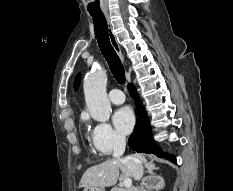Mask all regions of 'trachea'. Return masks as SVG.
<instances>
[{"mask_svg":"<svg viewBox=\"0 0 233 191\" xmlns=\"http://www.w3.org/2000/svg\"><path fill=\"white\" fill-rule=\"evenodd\" d=\"M94 22V30L98 46L104 58L108 62L109 68L119 84H124V67L116 51L109 40L108 25L103 14H90Z\"/></svg>","mask_w":233,"mask_h":191,"instance_id":"trachea-1","label":"trachea"}]
</instances>
